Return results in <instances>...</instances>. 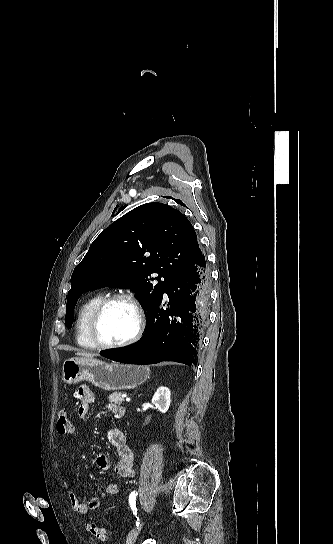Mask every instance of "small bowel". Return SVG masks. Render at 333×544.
I'll return each mask as SVG.
<instances>
[{
  "instance_id": "c3829d8e",
  "label": "small bowel",
  "mask_w": 333,
  "mask_h": 544,
  "mask_svg": "<svg viewBox=\"0 0 333 544\" xmlns=\"http://www.w3.org/2000/svg\"><path fill=\"white\" fill-rule=\"evenodd\" d=\"M78 400L77 413L81 419L86 418L89 413L90 406L95 400L93 392L89 387L82 385L76 391ZM109 410L115 417L121 418L124 415V408L116 403H110ZM107 440L114 447L119 460L114 468V471L119 476L131 479L134 477V454L132 449L126 442L124 432L119 426H111L107 431ZM96 465L102 471H107L111 468V462L108 456L100 453L96 458ZM120 487L116 483H110L104 493L100 497H92L88 502H82L77 496L72 487L67 485L69 501L73 511L79 515H86L90 510H95L100 506L101 498L114 496L118 494Z\"/></svg>"
}]
</instances>
